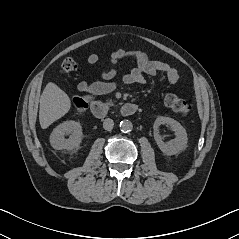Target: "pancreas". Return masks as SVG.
<instances>
[{
  "instance_id": "1",
  "label": "pancreas",
  "mask_w": 239,
  "mask_h": 239,
  "mask_svg": "<svg viewBox=\"0 0 239 239\" xmlns=\"http://www.w3.org/2000/svg\"><path fill=\"white\" fill-rule=\"evenodd\" d=\"M107 102H108L109 105H113L114 104L112 100H108Z\"/></svg>"
}]
</instances>
